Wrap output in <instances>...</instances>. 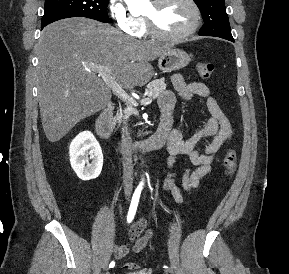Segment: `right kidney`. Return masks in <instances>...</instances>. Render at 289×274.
<instances>
[{
    "label": "right kidney",
    "instance_id": "ca27d5eb",
    "mask_svg": "<svg viewBox=\"0 0 289 274\" xmlns=\"http://www.w3.org/2000/svg\"><path fill=\"white\" fill-rule=\"evenodd\" d=\"M70 163L77 176L84 181L95 179L99 176L103 166L101 147L89 131L78 134L69 147ZM90 158L91 163H88Z\"/></svg>",
    "mask_w": 289,
    "mask_h": 274
}]
</instances>
